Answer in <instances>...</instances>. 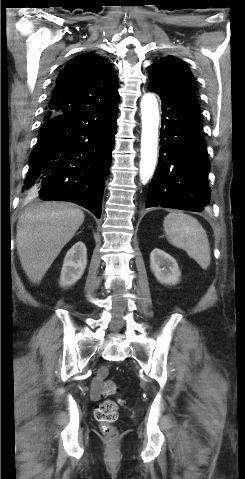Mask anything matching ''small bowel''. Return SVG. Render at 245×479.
Wrapping results in <instances>:
<instances>
[{
	"mask_svg": "<svg viewBox=\"0 0 245 479\" xmlns=\"http://www.w3.org/2000/svg\"><path fill=\"white\" fill-rule=\"evenodd\" d=\"M108 375V369L107 367H102L98 370L96 376L93 378L91 382V398L93 400H99L102 398L105 394L103 391V381Z\"/></svg>",
	"mask_w": 245,
	"mask_h": 479,
	"instance_id": "1",
	"label": "small bowel"
}]
</instances>
